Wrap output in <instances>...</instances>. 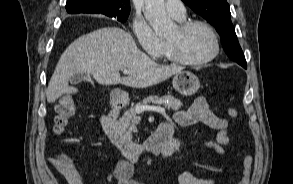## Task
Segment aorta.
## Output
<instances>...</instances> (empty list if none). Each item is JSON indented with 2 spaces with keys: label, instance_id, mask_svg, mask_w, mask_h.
<instances>
[{
  "label": "aorta",
  "instance_id": "aorta-1",
  "mask_svg": "<svg viewBox=\"0 0 293 184\" xmlns=\"http://www.w3.org/2000/svg\"><path fill=\"white\" fill-rule=\"evenodd\" d=\"M144 15L158 36L168 34L174 27L165 12L164 0H145Z\"/></svg>",
  "mask_w": 293,
  "mask_h": 184
}]
</instances>
